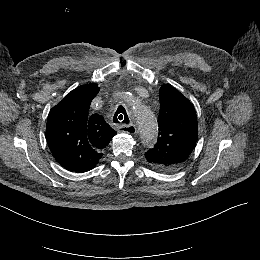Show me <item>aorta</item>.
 I'll list each match as a JSON object with an SVG mask.
<instances>
[{
  "label": "aorta",
  "instance_id": "obj_1",
  "mask_svg": "<svg viewBox=\"0 0 260 260\" xmlns=\"http://www.w3.org/2000/svg\"><path fill=\"white\" fill-rule=\"evenodd\" d=\"M131 106L143 144L152 147L156 143L158 135L156 118L147 107L135 100L131 101Z\"/></svg>",
  "mask_w": 260,
  "mask_h": 260
}]
</instances>
